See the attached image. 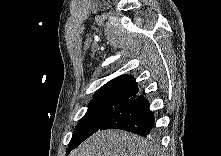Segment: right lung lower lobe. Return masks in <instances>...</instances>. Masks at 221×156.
<instances>
[{
    "label": "right lung lower lobe",
    "instance_id": "right-lung-lower-lobe-1",
    "mask_svg": "<svg viewBox=\"0 0 221 156\" xmlns=\"http://www.w3.org/2000/svg\"><path fill=\"white\" fill-rule=\"evenodd\" d=\"M154 123L155 118L147 99L135 95L119 104L99 130L122 129L146 137L152 134Z\"/></svg>",
    "mask_w": 221,
    "mask_h": 156
}]
</instances>
